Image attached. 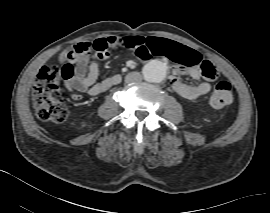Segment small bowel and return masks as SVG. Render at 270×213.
<instances>
[{
    "label": "small bowel",
    "mask_w": 270,
    "mask_h": 213,
    "mask_svg": "<svg viewBox=\"0 0 270 213\" xmlns=\"http://www.w3.org/2000/svg\"><path fill=\"white\" fill-rule=\"evenodd\" d=\"M124 37L110 36L98 40L82 41L71 47L70 50L78 54L69 57L70 50L62 53V58L73 64L74 75L65 81L66 87L71 91L74 99H79L82 93L96 96L117 85L121 76L115 74L97 82L99 77V63L106 60L111 50L123 47ZM163 56L176 63L173 72V89L183 99L195 101L210 93L211 80L207 79L199 84H190L181 80L184 74L194 80L203 77L200 55L197 51L183 46L175 41L158 38L153 45L147 46L137 57L139 60L149 59L151 56ZM211 63V62H210ZM216 71V77H217Z\"/></svg>",
    "instance_id": "small-bowel-1"
}]
</instances>
